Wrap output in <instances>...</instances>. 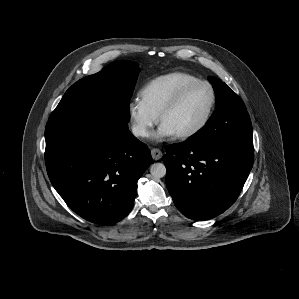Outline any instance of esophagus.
I'll return each mask as SVG.
<instances>
[{
	"instance_id": "1",
	"label": "esophagus",
	"mask_w": 299,
	"mask_h": 299,
	"mask_svg": "<svg viewBox=\"0 0 299 299\" xmlns=\"http://www.w3.org/2000/svg\"><path fill=\"white\" fill-rule=\"evenodd\" d=\"M151 155L154 160H159L162 157V151L160 149L153 148L151 150Z\"/></svg>"
}]
</instances>
